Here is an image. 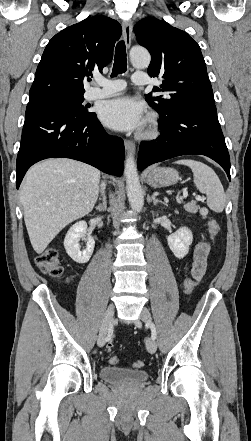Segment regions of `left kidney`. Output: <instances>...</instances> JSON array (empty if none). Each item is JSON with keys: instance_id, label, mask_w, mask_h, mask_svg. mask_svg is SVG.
Returning <instances> with one entry per match:
<instances>
[{"instance_id": "obj_1", "label": "left kidney", "mask_w": 251, "mask_h": 441, "mask_svg": "<svg viewBox=\"0 0 251 441\" xmlns=\"http://www.w3.org/2000/svg\"><path fill=\"white\" fill-rule=\"evenodd\" d=\"M169 248L175 257L182 259L189 251V247L193 241V235L187 227H181L167 238Z\"/></svg>"}]
</instances>
